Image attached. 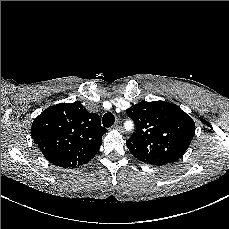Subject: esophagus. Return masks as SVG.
I'll return each instance as SVG.
<instances>
[{"instance_id":"34e87169","label":"esophagus","mask_w":229,"mask_h":229,"mask_svg":"<svg viewBox=\"0 0 229 229\" xmlns=\"http://www.w3.org/2000/svg\"><path fill=\"white\" fill-rule=\"evenodd\" d=\"M113 128L116 129V130L122 131L123 127H122L121 121L117 120L115 125L113 126Z\"/></svg>"}]
</instances>
